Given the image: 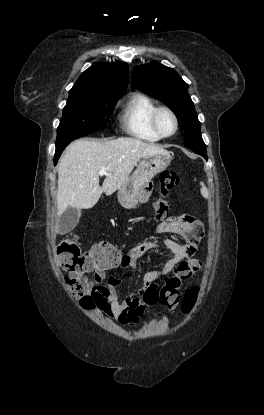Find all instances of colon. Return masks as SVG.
Segmentation results:
<instances>
[{
  "mask_svg": "<svg viewBox=\"0 0 264 415\" xmlns=\"http://www.w3.org/2000/svg\"><path fill=\"white\" fill-rule=\"evenodd\" d=\"M179 184V177L171 170L163 171L159 176V190L161 198L154 201L153 206L160 218H165L168 211V204L164 200L166 193ZM121 254L111 243L102 242L95 245L87 253H82L74 240L65 239L56 250V257L60 268L67 272L66 284L72 290L75 297L79 299L85 308L94 306L93 299L85 294L83 284L78 276L86 269L108 268L122 260ZM199 259H191L180 263L173 273L162 277V286L149 285L144 293L143 302L147 308L154 307L157 303L174 308L180 300V286L187 273L198 269ZM198 299V288H190L181 303V310L184 314H190Z\"/></svg>",
  "mask_w": 264,
  "mask_h": 415,
  "instance_id": "1",
  "label": "colon"
}]
</instances>
